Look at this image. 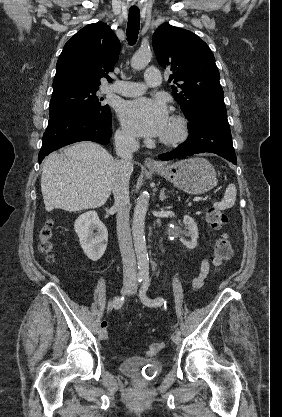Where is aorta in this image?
<instances>
[{"mask_svg":"<svg viewBox=\"0 0 282 417\" xmlns=\"http://www.w3.org/2000/svg\"><path fill=\"white\" fill-rule=\"evenodd\" d=\"M151 56L150 48H139L131 58L132 68H135V70L144 68L151 60ZM148 204L149 192H141L139 198H137L132 221V237L137 257L138 279H149V257L145 239V217Z\"/></svg>","mask_w":282,"mask_h":417,"instance_id":"1","label":"aorta"}]
</instances>
